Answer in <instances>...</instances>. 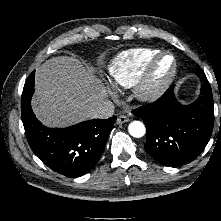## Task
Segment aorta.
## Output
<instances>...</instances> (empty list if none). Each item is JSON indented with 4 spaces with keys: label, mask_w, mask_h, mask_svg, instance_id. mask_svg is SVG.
I'll use <instances>...</instances> for the list:
<instances>
[{
    "label": "aorta",
    "mask_w": 221,
    "mask_h": 221,
    "mask_svg": "<svg viewBox=\"0 0 221 221\" xmlns=\"http://www.w3.org/2000/svg\"><path fill=\"white\" fill-rule=\"evenodd\" d=\"M128 132L131 136H133L135 138H140L145 135L146 128L142 122L133 121L128 126Z\"/></svg>",
    "instance_id": "762f6f07"
}]
</instances>
